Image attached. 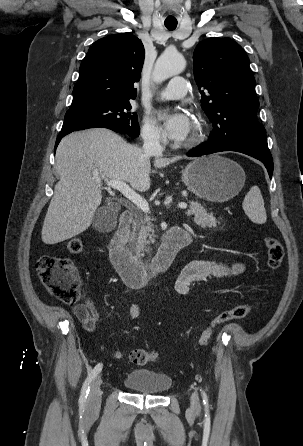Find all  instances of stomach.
<instances>
[{"mask_svg": "<svg viewBox=\"0 0 303 446\" xmlns=\"http://www.w3.org/2000/svg\"><path fill=\"white\" fill-rule=\"evenodd\" d=\"M245 179V172L238 163L220 155L194 159L182 171L187 188L211 202L234 198L243 188Z\"/></svg>", "mask_w": 303, "mask_h": 446, "instance_id": "stomach-1", "label": "stomach"}]
</instances>
